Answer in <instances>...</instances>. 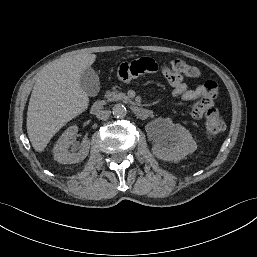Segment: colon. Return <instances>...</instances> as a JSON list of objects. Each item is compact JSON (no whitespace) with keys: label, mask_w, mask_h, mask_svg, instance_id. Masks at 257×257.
<instances>
[{"label":"colon","mask_w":257,"mask_h":257,"mask_svg":"<svg viewBox=\"0 0 257 257\" xmlns=\"http://www.w3.org/2000/svg\"><path fill=\"white\" fill-rule=\"evenodd\" d=\"M174 69L179 70L184 77L194 78L199 76V70L181 59L171 60L167 63ZM206 132L209 138L216 139L225 129V123L220 113L211 109L206 114Z\"/></svg>","instance_id":"1"}]
</instances>
